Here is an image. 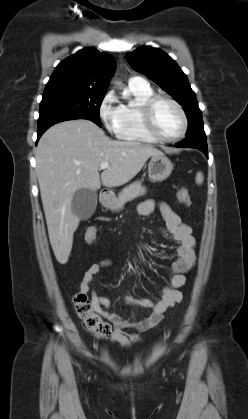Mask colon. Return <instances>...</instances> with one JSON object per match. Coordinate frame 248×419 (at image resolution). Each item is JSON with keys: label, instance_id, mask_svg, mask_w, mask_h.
<instances>
[{"label": "colon", "instance_id": "colon-1", "mask_svg": "<svg viewBox=\"0 0 248 419\" xmlns=\"http://www.w3.org/2000/svg\"><path fill=\"white\" fill-rule=\"evenodd\" d=\"M178 201L185 205L190 206L191 198L189 191L186 188H181L177 192ZM97 238V231L95 228H89L85 233V240L87 243H93ZM74 306L78 317L82 320L83 327L101 338H107L112 329L111 326L103 321L89 300L86 293L78 291L73 298Z\"/></svg>", "mask_w": 248, "mask_h": 419}]
</instances>
